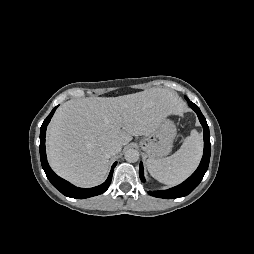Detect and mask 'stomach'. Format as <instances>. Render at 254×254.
<instances>
[{"label":"stomach","mask_w":254,"mask_h":254,"mask_svg":"<svg viewBox=\"0 0 254 254\" xmlns=\"http://www.w3.org/2000/svg\"><path fill=\"white\" fill-rule=\"evenodd\" d=\"M177 129L173 121L164 118L156 130L140 141L149 159H160L171 152Z\"/></svg>","instance_id":"stomach-1"}]
</instances>
